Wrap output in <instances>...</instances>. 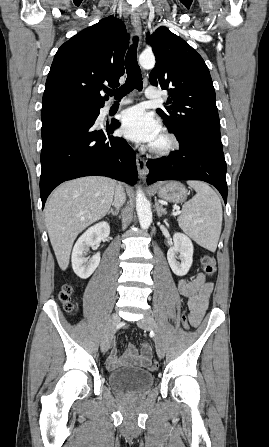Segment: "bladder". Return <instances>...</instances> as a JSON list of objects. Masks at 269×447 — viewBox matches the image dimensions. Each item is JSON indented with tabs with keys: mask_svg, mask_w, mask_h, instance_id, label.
I'll return each instance as SVG.
<instances>
[{
	"mask_svg": "<svg viewBox=\"0 0 269 447\" xmlns=\"http://www.w3.org/2000/svg\"><path fill=\"white\" fill-rule=\"evenodd\" d=\"M153 383V373L137 367H123L108 374V384L126 397L142 395Z\"/></svg>",
	"mask_w": 269,
	"mask_h": 447,
	"instance_id": "obj_1",
	"label": "bladder"
}]
</instances>
